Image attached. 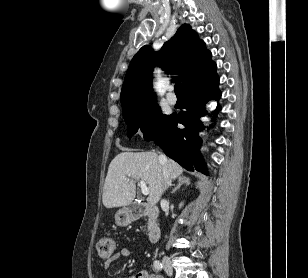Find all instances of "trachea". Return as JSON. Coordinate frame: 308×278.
I'll return each instance as SVG.
<instances>
[{"label": "trachea", "mask_w": 308, "mask_h": 278, "mask_svg": "<svg viewBox=\"0 0 308 278\" xmlns=\"http://www.w3.org/2000/svg\"><path fill=\"white\" fill-rule=\"evenodd\" d=\"M174 91L176 93V95H182V85L180 82H177L174 86Z\"/></svg>", "instance_id": "1"}]
</instances>
